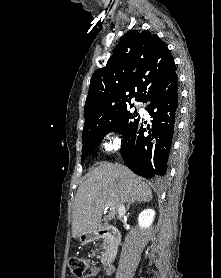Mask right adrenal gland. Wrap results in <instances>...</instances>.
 Segmentation results:
<instances>
[{"mask_svg": "<svg viewBox=\"0 0 221 278\" xmlns=\"http://www.w3.org/2000/svg\"><path fill=\"white\" fill-rule=\"evenodd\" d=\"M133 203V201H129L128 204H127V209L130 208V205Z\"/></svg>", "mask_w": 221, "mask_h": 278, "instance_id": "1", "label": "right adrenal gland"}]
</instances>
